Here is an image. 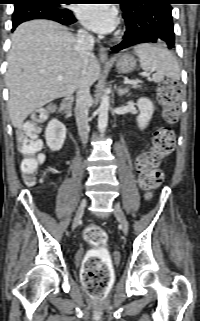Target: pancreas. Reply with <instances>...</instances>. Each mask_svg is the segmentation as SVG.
<instances>
[{"label":"pancreas","mask_w":200,"mask_h":321,"mask_svg":"<svg viewBox=\"0 0 200 321\" xmlns=\"http://www.w3.org/2000/svg\"><path fill=\"white\" fill-rule=\"evenodd\" d=\"M140 86L139 85H137V84H132V88H135V89H137V88H139Z\"/></svg>","instance_id":"obj_1"}]
</instances>
